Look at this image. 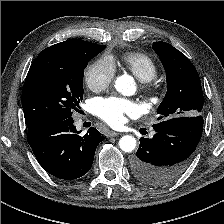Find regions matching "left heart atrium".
I'll use <instances>...</instances> for the list:
<instances>
[{"label": "left heart atrium", "instance_id": "obj_1", "mask_svg": "<svg viewBox=\"0 0 224 224\" xmlns=\"http://www.w3.org/2000/svg\"><path fill=\"white\" fill-rule=\"evenodd\" d=\"M95 112L110 126L118 127L125 116H133L138 112V106L133 101L111 97L98 100L95 104Z\"/></svg>", "mask_w": 224, "mask_h": 224}]
</instances>
